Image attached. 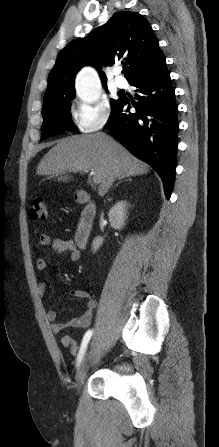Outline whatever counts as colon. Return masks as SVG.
Masks as SVG:
<instances>
[{
	"mask_svg": "<svg viewBox=\"0 0 219 447\" xmlns=\"http://www.w3.org/2000/svg\"><path fill=\"white\" fill-rule=\"evenodd\" d=\"M47 206L43 197H36L32 201L30 217L33 221H43L47 218Z\"/></svg>",
	"mask_w": 219,
	"mask_h": 447,
	"instance_id": "obj_1",
	"label": "colon"
}]
</instances>
